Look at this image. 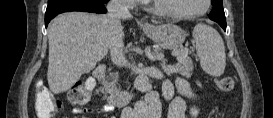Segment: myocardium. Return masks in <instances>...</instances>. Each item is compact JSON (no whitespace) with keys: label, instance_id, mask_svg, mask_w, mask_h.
I'll use <instances>...</instances> for the list:
<instances>
[{"label":"myocardium","instance_id":"obj_1","mask_svg":"<svg viewBox=\"0 0 273 118\" xmlns=\"http://www.w3.org/2000/svg\"><path fill=\"white\" fill-rule=\"evenodd\" d=\"M150 2H151V11L156 15L169 17V18L190 19V18H195L205 14L209 10L211 1L204 0V8L192 13H179V12L167 10L164 8V5L162 4V0H151Z\"/></svg>","mask_w":273,"mask_h":118}]
</instances>
